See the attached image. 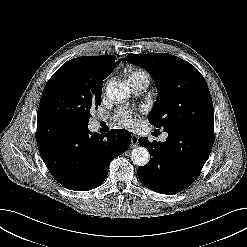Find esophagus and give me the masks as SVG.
<instances>
[{"instance_id":"1","label":"esophagus","mask_w":247,"mask_h":247,"mask_svg":"<svg viewBox=\"0 0 247 247\" xmlns=\"http://www.w3.org/2000/svg\"><path fill=\"white\" fill-rule=\"evenodd\" d=\"M138 145V136L136 134L131 135V147H136Z\"/></svg>"}]
</instances>
